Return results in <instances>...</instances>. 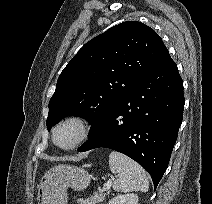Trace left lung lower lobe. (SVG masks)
<instances>
[{
    "mask_svg": "<svg viewBox=\"0 0 212 204\" xmlns=\"http://www.w3.org/2000/svg\"><path fill=\"white\" fill-rule=\"evenodd\" d=\"M183 81L169 53L105 115L78 149L104 147L138 162L157 187L182 123Z\"/></svg>",
    "mask_w": 212,
    "mask_h": 204,
    "instance_id": "1",
    "label": "left lung lower lobe"
}]
</instances>
